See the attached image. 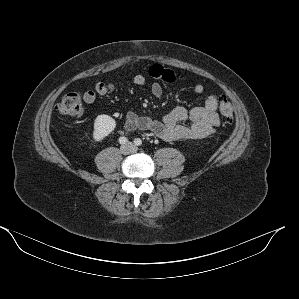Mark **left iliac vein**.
I'll return each mask as SVG.
<instances>
[{
	"mask_svg": "<svg viewBox=\"0 0 299 299\" xmlns=\"http://www.w3.org/2000/svg\"><path fill=\"white\" fill-rule=\"evenodd\" d=\"M128 146L132 147V144H131V143H129V144H128Z\"/></svg>",
	"mask_w": 299,
	"mask_h": 299,
	"instance_id": "obj_1",
	"label": "left iliac vein"
}]
</instances>
